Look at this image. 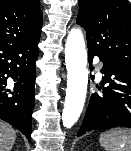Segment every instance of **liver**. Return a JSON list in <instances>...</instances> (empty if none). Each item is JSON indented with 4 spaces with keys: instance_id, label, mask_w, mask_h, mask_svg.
Returning a JSON list of instances; mask_svg holds the SVG:
<instances>
[{
    "instance_id": "1",
    "label": "liver",
    "mask_w": 131,
    "mask_h": 151,
    "mask_svg": "<svg viewBox=\"0 0 131 151\" xmlns=\"http://www.w3.org/2000/svg\"><path fill=\"white\" fill-rule=\"evenodd\" d=\"M15 140L14 129L7 123L0 121V151H11Z\"/></svg>"
}]
</instances>
